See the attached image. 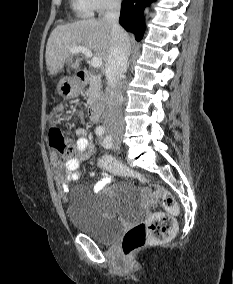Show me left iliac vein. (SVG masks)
<instances>
[{
  "instance_id": "obj_1",
  "label": "left iliac vein",
  "mask_w": 233,
  "mask_h": 284,
  "mask_svg": "<svg viewBox=\"0 0 233 284\" xmlns=\"http://www.w3.org/2000/svg\"><path fill=\"white\" fill-rule=\"evenodd\" d=\"M110 143H111V147L113 149H119L120 148L121 142H120L119 138L116 137V138L112 139L110 141Z\"/></svg>"
}]
</instances>
